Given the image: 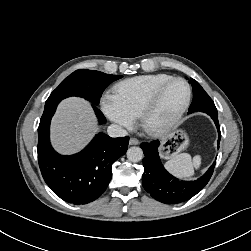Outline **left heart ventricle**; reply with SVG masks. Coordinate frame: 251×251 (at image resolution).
Returning <instances> with one entry per match:
<instances>
[{"instance_id": "left-heart-ventricle-1", "label": "left heart ventricle", "mask_w": 251, "mask_h": 251, "mask_svg": "<svg viewBox=\"0 0 251 251\" xmlns=\"http://www.w3.org/2000/svg\"><path fill=\"white\" fill-rule=\"evenodd\" d=\"M187 97V88L183 82L170 84L162 93L150 122L160 125L171 119L183 106Z\"/></svg>"}]
</instances>
